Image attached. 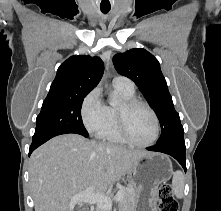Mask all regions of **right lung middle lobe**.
Here are the masks:
<instances>
[{"label": "right lung middle lobe", "mask_w": 221, "mask_h": 211, "mask_svg": "<svg viewBox=\"0 0 221 211\" xmlns=\"http://www.w3.org/2000/svg\"><path fill=\"white\" fill-rule=\"evenodd\" d=\"M86 95H48L37 116L33 138L58 131L88 135L81 118V106Z\"/></svg>", "instance_id": "1"}]
</instances>
